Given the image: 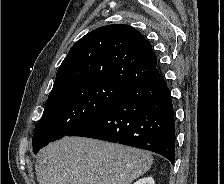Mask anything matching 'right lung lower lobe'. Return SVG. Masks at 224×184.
<instances>
[{
    "label": "right lung lower lobe",
    "mask_w": 224,
    "mask_h": 184,
    "mask_svg": "<svg viewBox=\"0 0 224 184\" xmlns=\"http://www.w3.org/2000/svg\"><path fill=\"white\" fill-rule=\"evenodd\" d=\"M68 136L120 143L175 162L174 110L161 76L127 88L106 110Z\"/></svg>",
    "instance_id": "right-lung-lower-lobe-1"
}]
</instances>
